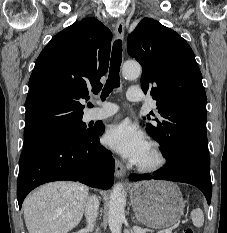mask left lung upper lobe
Returning a JSON list of instances; mask_svg holds the SVG:
<instances>
[{"label": "left lung upper lobe", "mask_w": 227, "mask_h": 233, "mask_svg": "<svg viewBox=\"0 0 227 233\" xmlns=\"http://www.w3.org/2000/svg\"><path fill=\"white\" fill-rule=\"evenodd\" d=\"M128 53L142 65L141 87L157 105L147 132L161 145L166 163L182 154L209 163L206 93L188 43L175 31L143 19L128 38Z\"/></svg>", "instance_id": "left-lung-upper-lobe-1"}]
</instances>
